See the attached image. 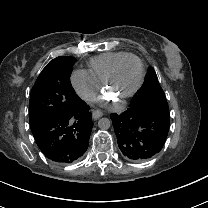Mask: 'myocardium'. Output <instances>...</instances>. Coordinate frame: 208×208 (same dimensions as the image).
Instances as JSON below:
<instances>
[{"label":"myocardium","mask_w":208,"mask_h":208,"mask_svg":"<svg viewBox=\"0 0 208 208\" xmlns=\"http://www.w3.org/2000/svg\"><path fill=\"white\" fill-rule=\"evenodd\" d=\"M127 58H134V59H136L138 61L139 66H140V78H139V81H138L137 85L135 86V88L131 92H129L128 94H126V95H124V96H122L120 98L112 96L120 104L126 103L127 100H129L130 98L135 96L139 92L141 87L143 86V83H144V80H145V67H144V63L141 60V58L138 57L135 54L127 53L126 55H124L123 57L118 59L113 64V66L111 67L107 77L105 78L104 82L101 85L103 93L110 95L109 87H110V85H111V83L113 81L115 72H116L117 68L119 67V65Z\"/></svg>","instance_id":"1"}]
</instances>
